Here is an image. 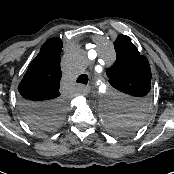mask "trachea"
Segmentation results:
<instances>
[{
    "mask_svg": "<svg viewBox=\"0 0 174 174\" xmlns=\"http://www.w3.org/2000/svg\"><path fill=\"white\" fill-rule=\"evenodd\" d=\"M78 83H83V84H87L88 83V76L86 74H81L78 79H77Z\"/></svg>",
    "mask_w": 174,
    "mask_h": 174,
    "instance_id": "obj_1",
    "label": "trachea"
}]
</instances>
